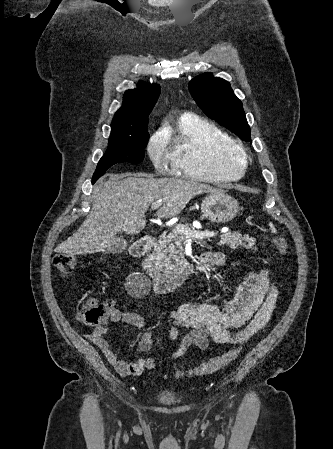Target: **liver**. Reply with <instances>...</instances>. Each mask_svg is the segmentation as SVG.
<instances>
[{
  "mask_svg": "<svg viewBox=\"0 0 333 449\" xmlns=\"http://www.w3.org/2000/svg\"><path fill=\"white\" fill-rule=\"evenodd\" d=\"M217 191L195 181L154 179L142 173L106 174L93 190V206L82 226L56 250L69 255L104 251L118 233L138 234L152 203L162 200L158 217L173 218L192 198Z\"/></svg>",
  "mask_w": 333,
  "mask_h": 449,
  "instance_id": "liver-1",
  "label": "liver"
}]
</instances>
